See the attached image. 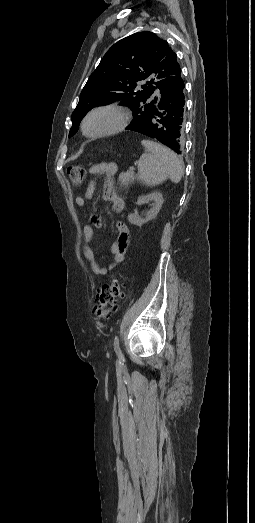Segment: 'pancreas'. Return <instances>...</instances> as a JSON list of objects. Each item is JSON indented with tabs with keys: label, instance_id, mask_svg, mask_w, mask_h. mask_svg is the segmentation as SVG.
Instances as JSON below:
<instances>
[{
	"label": "pancreas",
	"instance_id": "1",
	"mask_svg": "<svg viewBox=\"0 0 255 523\" xmlns=\"http://www.w3.org/2000/svg\"><path fill=\"white\" fill-rule=\"evenodd\" d=\"M136 180V176H134L133 173L128 172H122L119 176V182H121V186H128V184H132Z\"/></svg>",
	"mask_w": 255,
	"mask_h": 523
}]
</instances>
